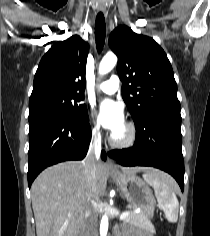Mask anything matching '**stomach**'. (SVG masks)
<instances>
[{
    "mask_svg": "<svg viewBox=\"0 0 210 236\" xmlns=\"http://www.w3.org/2000/svg\"><path fill=\"white\" fill-rule=\"evenodd\" d=\"M113 180L119 185L127 201L135 208L141 209L147 217H152L156 201L146 182L135 174H111Z\"/></svg>",
    "mask_w": 210,
    "mask_h": 236,
    "instance_id": "stomach-1",
    "label": "stomach"
}]
</instances>
